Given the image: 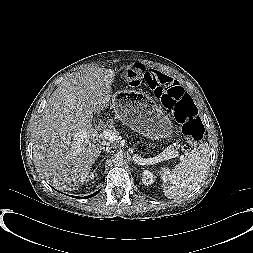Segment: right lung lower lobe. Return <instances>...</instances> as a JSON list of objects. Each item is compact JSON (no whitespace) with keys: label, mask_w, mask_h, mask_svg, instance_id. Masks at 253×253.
Segmentation results:
<instances>
[{"label":"right lung lower lobe","mask_w":253,"mask_h":253,"mask_svg":"<svg viewBox=\"0 0 253 253\" xmlns=\"http://www.w3.org/2000/svg\"><path fill=\"white\" fill-rule=\"evenodd\" d=\"M98 193H99V191H97V192L93 193L92 195L86 196V197H77V198H81V199L83 198V199H86V198L93 197V196L97 195Z\"/></svg>","instance_id":"1"}]
</instances>
